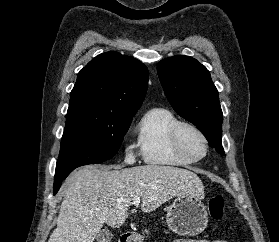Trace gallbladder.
<instances>
[{
  "label": "gallbladder",
  "mask_w": 279,
  "mask_h": 242,
  "mask_svg": "<svg viewBox=\"0 0 279 242\" xmlns=\"http://www.w3.org/2000/svg\"><path fill=\"white\" fill-rule=\"evenodd\" d=\"M112 238L113 235L108 229L101 230L96 237L98 242H110Z\"/></svg>",
  "instance_id": "gallbladder-1"
}]
</instances>
